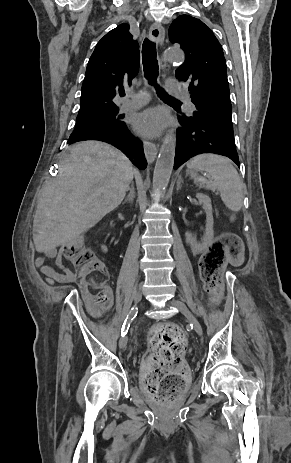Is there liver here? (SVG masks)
<instances>
[{
	"instance_id": "6515ba94",
	"label": "liver",
	"mask_w": 291,
	"mask_h": 463,
	"mask_svg": "<svg viewBox=\"0 0 291 463\" xmlns=\"http://www.w3.org/2000/svg\"><path fill=\"white\" fill-rule=\"evenodd\" d=\"M133 174L130 160L109 144L71 146L41 194L33 221L36 250L54 256L58 246L92 228L120 205Z\"/></svg>"
}]
</instances>
